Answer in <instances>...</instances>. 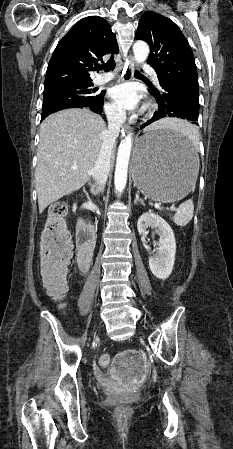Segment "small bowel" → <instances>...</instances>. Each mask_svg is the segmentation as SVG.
<instances>
[{
  "instance_id": "obj_1",
  "label": "small bowel",
  "mask_w": 233,
  "mask_h": 449,
  "mask_svg": "<svg viewBox=\"0 0 233 449\" xmlns=\"http://www.w3.org/2000/svg\"><path fill=\"white\" fill-rule=\"evenodd\" d=\"M124 352L115 355L116 363H109L107 356L101 358L107 377H117L114 394H132L140 384V377H143L149 361L148 354H140L139 347H126Z\"/></svg>"
}]
</instances>
